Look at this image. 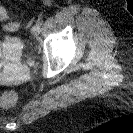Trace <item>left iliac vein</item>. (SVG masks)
I'll list each match as a JSON object with an SVG mask.
<instances>
[{"label":"left iliac vein","instance_id":"1","mask_svg":"<svg viewBox=\"0 0 133 133\" xmlns=\"http://www.w3.org/2000/svg\"><path fill=\"white\" fill-rule=\"evenodd\" d=\"M40 30H41V26L38 25V24H35L32 29H31V32L34 36H37L40 34Z\"/></svg>","mask_w":133,"mask_h":133}]
</instances>
